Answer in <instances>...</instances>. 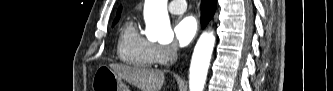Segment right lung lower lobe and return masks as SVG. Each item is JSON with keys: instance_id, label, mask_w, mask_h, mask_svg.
<instances>
[{"instance_id": "obj_1", "label": "right lung lower lobe", "mask_w": 333, "mask_h": 91, "mask_svg": "<svg viewBox=\"0 0 333 91\" xmlns=\"http://www.w3.org/2000/svg\"><path fill=\"white\" fill-rule=\"evenodd\" d=\"M217 6V0L201 1V23L205 27L213 17Z\"/></svg>"}]
</instances>
